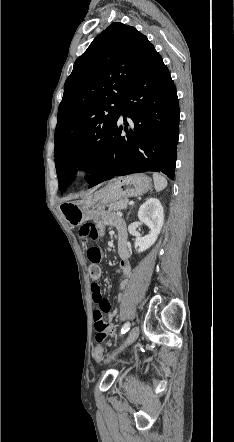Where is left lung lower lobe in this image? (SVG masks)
<instances>
[{"label": "left lung lower lobe", "instance_id": "0a47b994", "mask_svg": "<svg viewBox=\"0 0 234 442\" xmlns=\"http://www.w3.org/2000/svg\"><path fill=\"white\" fill-rule=\"evenodd\" d=\"M120 114L134 123L124 131L116 124L106 156L89 179V188L115 176L138 172L175 175L176 146L179 135V103L168 68L154 52L141 74L127 89Z\"/></svg>", "mask_w": 234, "mask_h": 442}]
</instances>
